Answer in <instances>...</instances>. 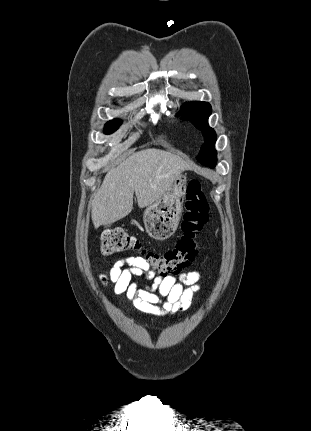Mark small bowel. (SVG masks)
Returning a JSON list of instances; mask_svg holds the SVG:
<instances>
[{
  "instance_id": "1",
  "label": "small bowel",
  "mask_w": 311,
  "mask_h": 431,
  "mask_svg": "<svg viewBox=\"0 0 311 431\" xmlns=\"http://www.w3.org/2000/svg\"><path fill=\"white\" fill-rule=\"evenodd\" d=\"M144 275L152 279V288H140L132 279ZM199 271H191L180 276L160 277L150 270L149 263L142 256L127 255L114 263L108 273L101 274L103 285H114L116 295L124 294L139 311L153 315H172L187 310L195 294L200 290Z\"/></svg>"
}]
</instances>
